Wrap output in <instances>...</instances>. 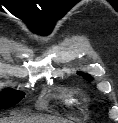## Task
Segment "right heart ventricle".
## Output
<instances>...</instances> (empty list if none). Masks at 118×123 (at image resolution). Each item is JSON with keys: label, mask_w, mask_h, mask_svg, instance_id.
I'll list each match as a JSON object with an SVG mask.
<instances>
[{"label": "right heart ventricle", "mask_w": 118, "mask_h": 123, "mask_svg": "<svg viewBox=\"0 0 118 123\" xmlns=\"http://www.w3.org/2000/svg\"><path fill=\"white\" fill-rule=\"evenodd\" d=\"M62 101L65 105L79 108L83 105L81 98L76 92L68 91L62 96Z\"/></svg>", "instance_id": "obj_1"}]
</instances>
